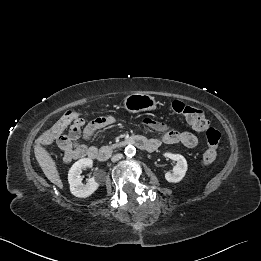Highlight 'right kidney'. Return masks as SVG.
I'll use <instances>...</instances> for the list:
<instances>
[{"label":"right kidney","mask_w":261,"mask_h":261,"mask_svg":"<svg viewBox=\"0 0 261 261\" xmlns=\"http://www.w3.org/2000/svg\"><path fill=\"white\" fill-rule=\"evenodd\" d=\"M93 164L89 158H83L75 162L69 170L68 182L70 184L71 193L80 198H86L92 195L99 187V182L94 178L88 179L86 184L82 183L80 176L82 169L91 167Z\"/></svg>","instance_id":"right-kidney-1"}]
</instances>
